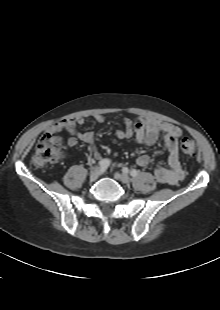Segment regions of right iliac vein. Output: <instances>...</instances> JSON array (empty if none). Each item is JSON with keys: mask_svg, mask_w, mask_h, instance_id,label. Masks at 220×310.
<instances>
[{"mask_svg": "<svg viewBox=\"0 0 220 310\" xmlns=\"http://www.w3.org/2000/svg\"><path fill=\"white\" fill-rule=\"evenodd\" d=\"M100 176V170L99 169H96L94 170L93 172H91L90 174V180L91 181H96Z\"/></svg>", "mask_w": 220, "mask_h": 310, "instance_id": "obj_1", "label": "right iliac vein"}]
</instances>
